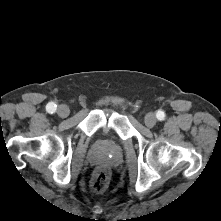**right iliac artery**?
<instances>
[{
    "label": "right iliac artery",
    "mask_w": 221,
    "mask_h": 221,
    "mask_svg": "<svg viewBox=\"0 0 221 221\" xmlns=\"http://www.w3.org/2000/svg\"><path fill=\"white\" fill-rule=\"evenodd\" d=\"M56 108H57V105L53 102H49L46 106V110L51 114L56 111Z\"/></svg>",
    "instance_id": "1"
}]
</instances>
